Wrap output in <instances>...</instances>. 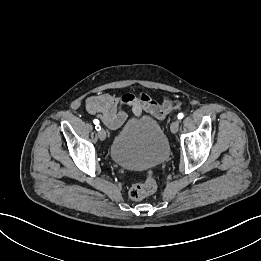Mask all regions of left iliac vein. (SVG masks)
<instances>
[{"label": "left iliac vein", "mask_w": 261, "mask_h": 261, "mask_svg": "<svg viewBox=\"0 0 261 261\" xmlns=\"http://www.w3.org/2000/svg\"><path fill=\"white\" fill-rule=\"evenodd\" d=\"M179 125H180L179 121L172 122L171 126H170L171 132L172 133H176L178 131V129H179Z\"/></svg>", "instance_id": "1"}]
</instances>
